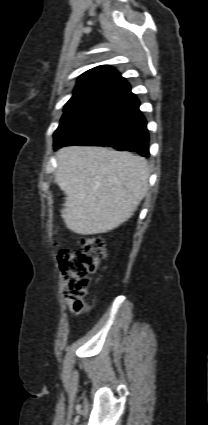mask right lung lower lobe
Returning <instances> with one entry per match:
<instances>
[{
	"instance_id": "98d812e1",
	"label": "right lung lower lobe",
	"mask_w": 208,
	"mask_h": 425,
	"mask_svg": "<svg viewBox=\"0 0 208 425\" xmlns=\"http://www.w3.org/2000/svg\"><path fill=\"white\" fill-rule=\"evenodd\" d=\"M129 83L120 77L78 108L54 133V148L110 146L149 157L147 122Z\"/></svg>"
}]
</instances>
